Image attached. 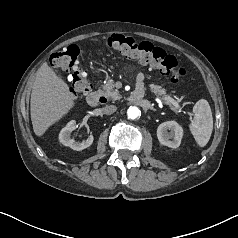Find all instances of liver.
Returning <instances> with one entry per match:
<instances>
[{
    "label": "liver",
    "mask_w": 238,
    "mask_h": 238,
    "mask_svg": "<svg viewBox=\"0 0 238 238\" xmlns=\"http://www.w3.org/2000/svg\"><path fill=\"white\" fill-rule=\"evenodd\" d=\"M74 106L67 83L45 62L38 69L33 84L30 115L34 133L42 136Z\"/></svg>",
    "instance_id": "6515ba94"
}]
</instances>
